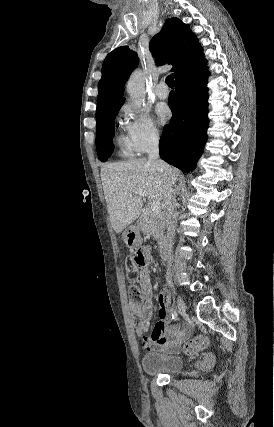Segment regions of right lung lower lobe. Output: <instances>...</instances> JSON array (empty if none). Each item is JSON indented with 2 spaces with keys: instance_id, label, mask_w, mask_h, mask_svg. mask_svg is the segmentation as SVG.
<instances>
[{
  "instance_id": "98d812e1",
  "label": "right lung lower lobe",
  "mask_w": 274,
  "mask_h": 427,
  "mask_svg": "<svg viewBox=\"0 0 274 427\" xmlns=\"http://www.w3.org/2000/svg\"><path fill=\"white\" fill-rule=\"evenodd\" d=\"M205 63L175 80L176 91L168 102L173 116L159 142L160 157L183 172L195 168L207 140L209 74Z\"/></svg>"
}]
</instances>
